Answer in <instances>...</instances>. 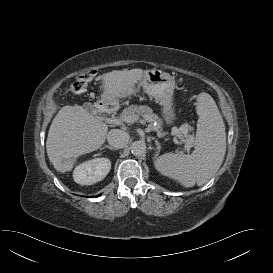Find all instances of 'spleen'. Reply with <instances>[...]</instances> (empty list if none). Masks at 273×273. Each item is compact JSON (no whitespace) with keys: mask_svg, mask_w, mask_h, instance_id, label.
I'll return each instance as SVG.
<instances>
[{"mask_svg":"<svg viewBox=\"0 0 273 273\" xmlns=\"http://www.w3.org/2000/svg\"><path fill=\"white\" fill-rule=\"evenodd\" d=\"M196 112L199 119L193 153H166L155 161L161 174L179 181L184 187L207 183L220 168L226 151L223 118L209 94L198 95Z\"/></svg>","mask_w":273,"mask_h":273,"instance_id":"spleen-1","label":"spleen"}]
</instances>
